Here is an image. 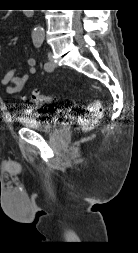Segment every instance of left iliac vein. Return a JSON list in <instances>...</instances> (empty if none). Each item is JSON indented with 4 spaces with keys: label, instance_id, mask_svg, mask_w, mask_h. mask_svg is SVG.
<instances>
[{
    "label": "left iliac vein",
    "instance_id": "1",
    "mask_svg": "<svg viewBox=\"0 0 138 253\" xmlns=\"http://www.w3.org/2000/svg\"><path fill=\"white\" fill-rule=\"evenodd\" d=\"M48 60H49V64H50V69L48 71H52L56 68V64L53 60V55L51 52L48 53Z\"/></svg>",
    "mask_w": 138,
    "mask_h": 253
}]
</instances>
